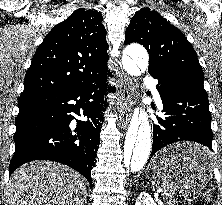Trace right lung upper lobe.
<instances>
[{
	"instance_id": "cb5924a9",
	"label": "right lung upper lobe",
	"mask_w": 222,
	"mask_h": 205,
	"mask_svg": "<svg viewBox=\"0 0 222 205\" xmlns=\"http://www.w3.org/2000/svg\"><path fill=\"white\" fill-rule=\"evenodd\" d=\"M102 20L100 12L80 8L57 24L36 50L20 97L66 91L109 72Z\"/></svg>"
}]
</instances>
